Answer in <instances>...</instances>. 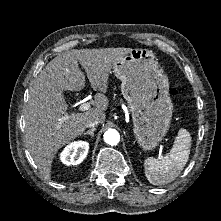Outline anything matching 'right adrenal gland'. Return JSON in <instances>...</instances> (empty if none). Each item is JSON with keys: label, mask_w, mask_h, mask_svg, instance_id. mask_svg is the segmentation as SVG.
<instances>
[{"label": "right adrenal gland", "mask_w": 221, "mask_h": 221, "mask_svg": "<svg viewBox=\"0 0 221 221\" xmlns=\"http://www.w3.org/2000/svg\"><path fill=\"white\" fill-rule=\"evenodd\" d=\"M96 130V128H92L88 131H86L85 133H83V135H90L92 138L94 137V131Z\"/></svg>", "instance_id": "obj_1"}]
</instances>
